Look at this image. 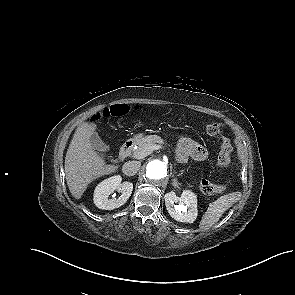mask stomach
I'll return each mask as SVG.
<instances>
[{"label":"stomach","mask_w":295,"mask_h":295,"mask_svg":"<svg viewBox=\"0 0 295 295\" xmlns=\"http://www.w3.org/2000/svg\"><path fill=\"white\" fill-rule=\"evenodd\" d=\"M142 138H143L142 134H137L134 136L133 140L138 143Z\"/></svg>","instance_id":"stomach-1"}]
</instances>
